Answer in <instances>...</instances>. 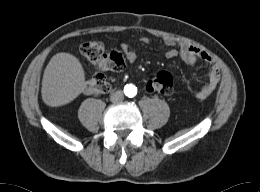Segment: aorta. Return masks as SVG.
Instances as JSON below:
<instances>
[{
    "label": "aorta",
    "instance_id": "aorta-1",
    "mask_svg": "<svg viewBox=\"0 0 260 192\" xmlns=\"http://www.w3.org/2000/svg\"><path fill=\"white\" fill-rule=\"evenodd\" d=\"M125 93H126L127 96H130V97L134 96L136 94V87L134 85H131V84L126 85L125 86Z\"/></svg>",
    "mask_w": 260,
    "mask_h": 192
}]
</instances>
